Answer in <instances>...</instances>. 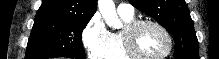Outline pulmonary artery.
Listing matches in <instances>:
<instances>
[{
    "instance_id": "pulmonary-artery-1",
    "label": "pulmonary artery",
    "mask_w": 219,
    "mask_h": 59,
    "mask_svg": "<svg viewBox=\"0 0 219 59\" xmlns=\"http://www.w3.org/2000/svg\"><path fill=\"white\" fill-rule=\"evenodd\" d=\"M117 11L119 14L123 15H134V7L128 3H121L117 6Z\"/></svg>"
}]
</instances>
